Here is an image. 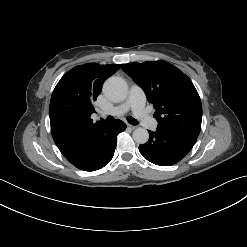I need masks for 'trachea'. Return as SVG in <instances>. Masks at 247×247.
Segmentation results:
<instances>
[{"label": "trachea", "mask_w": 247, "mask_h": 247, "mask_svg": "<svg viewBox=\"0 0 247 247\" xmlns=\"http://www.w3.org/2000/svg\"><path fill=\"white\" fill-rule=\"evenodd\" d=\"M113 119H114V117H112V116H108V117L106 118V120H107L108 122H111ZM127 121H128L130 124H132V125H136V124L138 123L137 120L134 119V118L131 117V116L127 117Z\"/></svg>", "instance_id": "trachea-1"}]
</instances>
